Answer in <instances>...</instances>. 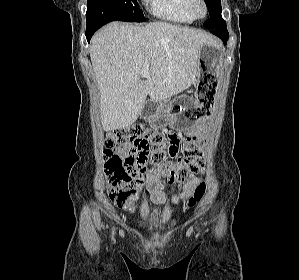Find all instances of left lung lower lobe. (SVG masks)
Masks as SVG:
<instances>
[{
  "instance_id": "left-lung-lower-lobe-1",
  "label": "left lung lower lobe",
  "mask_w": 299,
  "mask_h": 280,
  "mask_svg": "<svg viewBox=\"0 0 299 280\" xmlns=\"http://www.w3.org/2000/svg\"><path fill=\"white\" fill-rule=\"evenodd\" d=\"M212 34L218 36L219 38H221L224 42V44H226L228 38H229V33L227 31V27H226V23L220 27H217L214 30L210 31Z\"/></svg>"
}]
</instances>
